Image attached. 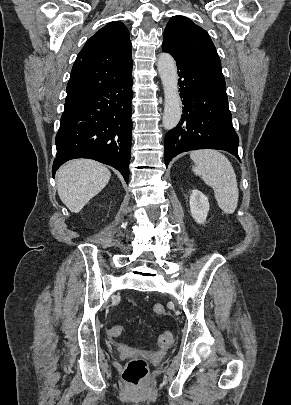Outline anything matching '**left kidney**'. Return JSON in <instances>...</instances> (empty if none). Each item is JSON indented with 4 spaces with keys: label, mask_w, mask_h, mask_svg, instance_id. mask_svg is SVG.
I'll return each instance as SVG.
<instances>
[{
    "label": "left kidney",
    "mask_w": 291,
    "mask_h": 405,
    "mask_svg": "<svg viewBox=\"0 0 291 405\" xmlns=\"http://www.w3.org/2000/svg\"><path fill=\"white\" fill-rule=\"evenodd\" d=\"M209 207L208 198L199 190H193L190 195V211L197 223L203 224L206 221Z\"/></svg>",
    "instance_id": "1"
}]
</instances>
